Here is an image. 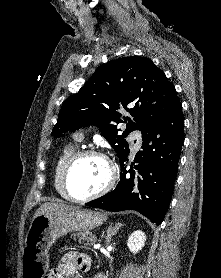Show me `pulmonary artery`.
<instances>
[{
	"mask_svg": "<svg viewBox=\"0 0 221 278\" xmlns=\"http://www.w3.org/2000/svg\"><path fill=\"white\" fill-rule=\"evenodd\" d=\"M76 139L78 141L82 140L83 139V134H77ZM130 139H131L134 151L138 150L141 146V143H142V138H141L140 134L133 133Z\"/></svg>",
	"mask_w": 221,
	"mask_h": 278,
	"instance_id": "obj_1",
	"label": "pulmonary artery"
}]
</instances>
